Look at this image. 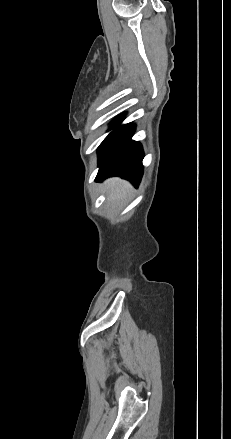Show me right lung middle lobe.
Returning <instances> with one entry per match:
<instances>
[{"label":"right lung middle lobe","instance_id":"1","mask_svg":"<svg viewBox=\"0 0 231 439\" xmlns=\"http://www.w3.org/2000/svg\"><path fill=\"white\" fill-rule=\"evenodd\" d=\"M122 116H119L117 119H115V121L111 124V126H110V129H114V131H116L117 129H119V128H121L122 126H119V124L121 123V121H122V118H121ZM113 131V132H114ZM113 132H111V133H113ZM110 133V134H111Z\"/></svg>","mask_w":231,"mask_h":439}]
</instances>
